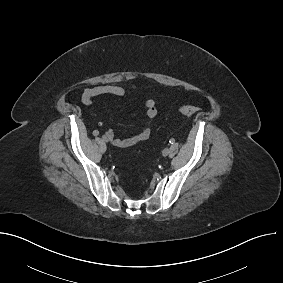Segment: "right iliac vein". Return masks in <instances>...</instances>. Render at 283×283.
Returning <instances> with one entry per match:
<instances>
[{"label": "right iliac vein", "instance_id": "1", "mask_svg": "<svg viewBox=\"0 0 283 283\" xmlns=\"http://www.w3.org/2000/svg\"><path fill=\"white\" fill-rule=\"evenodd\" d=\"M103 140H104L105 142H108V141H109V138H108L107 136H104Z\"/></svg>", "mask_w": 283, "mask_h": 283}]
</instances>
